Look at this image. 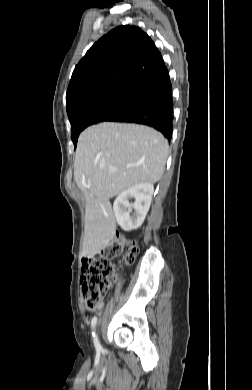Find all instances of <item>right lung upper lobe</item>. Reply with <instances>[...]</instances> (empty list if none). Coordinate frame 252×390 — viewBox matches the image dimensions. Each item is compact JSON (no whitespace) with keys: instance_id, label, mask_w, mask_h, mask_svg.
<instances>
[{"instance_id":"obj_1","label":"right lung upper lobe","mask_w":252,"mask_h":390,"mask_svg":"<svg viewBox=\"0 0 252 390\" xmlns=\"http://www.w3.org/2000/svg\"><path fill=\"white\" fill-rule=\"evenodd\" d=\"M168 77L151 38L139 27L119 26L100 38L76 65L66 94L67 113L101 97H136Z\"/></svg>"}]
</instances>
